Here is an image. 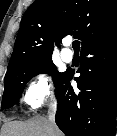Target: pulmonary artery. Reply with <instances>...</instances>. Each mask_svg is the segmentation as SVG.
Masks as SVG:
<instances>
[{
  "label": "pulmonary artery",
  "instance_id": "pulmonary-artery-1",
  "mask_svg": "<svg viewBox=\"0 0 117 136\" xmlns=\"http://www.w3.org/2000/svg\"><path fill=\"white\" fill-rule=\"evenodd\" d=\"M66 46H68V44H66ZM61 57L65 62H71L73 60V53L70 49L68 48H64L61 51Z\"/></svg>",
  "mask_w": 117,
  "mask_h": 136
}]
</instances>
